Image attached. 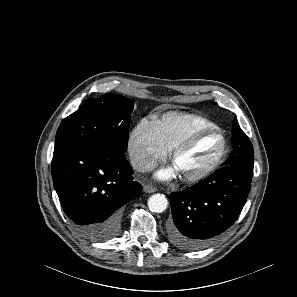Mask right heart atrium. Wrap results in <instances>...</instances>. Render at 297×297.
I'll use <instances>...</instances> for the list:
<instances>
[{
  "label": "right heart atrium",
  "instance_id": "1",
  "mask_svg": "<svg viewBox=\"0 0 297 297\" xmlns=\"http://www.w3.org/2000/svg\"><path fill=\"white\" fill-rule=\"evenodd\" d=\"M127 150L132 167L145 172L167 154V149L156 136L153 122L142 119L132 129L127 142Z\"/></svg>",
  "mask_w": 297,
  "mask_h": 297
}]
</instances>
